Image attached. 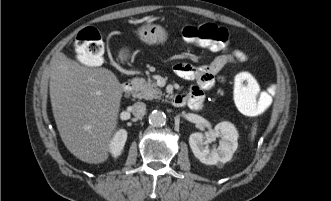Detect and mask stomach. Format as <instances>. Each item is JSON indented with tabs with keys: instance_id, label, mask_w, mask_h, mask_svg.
<instances>
[{
	"instance_id": "1",
	"label": "stomach",
	"mask_w": 331,
	"mask_h": 201,
	"mask_svg": "<svg viewBox=\"0 0 331 201\" xmlns=\"http://www.w3.org/2000/svg\"><path fill=\"white\" fill-rule=\"evenodd\" d=\"M139 39L149 45H157L167 40V32L160 25L146 23L137 28Z\"/></svg>"
}]
</instances>
